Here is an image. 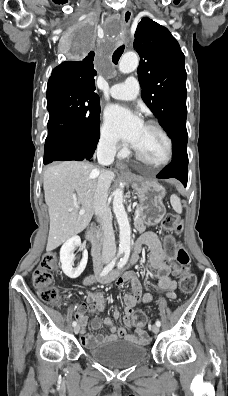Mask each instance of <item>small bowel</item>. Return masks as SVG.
I'll return each mask as SVG.
<instances>
[{"instance_id": "obj_1", "label": "small bowel", "mask_w": 228, "mask_h": 396, "mask_svg": "<svg viewBox=\"0 0 228 396\" xmlns=\"http://www.w3.org/2000/svg\"><path fill=\"white\" fill-rule=\"evenodd\" d=\"M143 245L149 248V264L155 270L157 277L156 287L164 292V296L168 299H175L177 282L171 278V266L166 262L167 255L163 248L158 236L155 233L147 232L140 240L135 244L134 259L140 252ZM108 276V275H107ZM99 279L96 276H89L84 280L86 286L92 285L96 282L108 283L106 277ZM116 285H122L126 282L131 284L132 292L124 295L125 313L123 316L124 326L117 328L113 324V320L120 318V311L114 308L112 318L101 319L95 317L91 321V326L94 330L99 329L102 325H106L110 329L108 335H96L91 336L86 333L85 326L88 322V313L101 312L105 308V299L101 292L88 291L87 292V304H83L79 307L76 312V318L79 320L81 326V343L86 348L94 347L106 341L115 339H124L135 341L139 343H145L148 340V334L144 328L136 327L132 324L131 316L134 309L139 303H149L152 301L153 296L151 294H143L142 287L133 273H127L123 276L118 277L114 280ZM134 327V335L127 333V328Z\"/></svg>"}]
</instances>
